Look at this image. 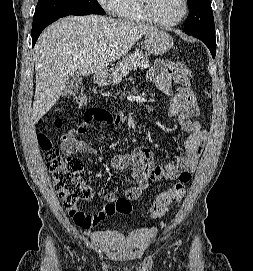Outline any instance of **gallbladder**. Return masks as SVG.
Here are the masks:
<instances>
[{"label":"gallbladder","instance_id":"gallbladder-1","mask_svg":"<svg viewBox=\"0 0 253 271\" xmlns=\"http://www.w3.org/2000/svg\"><path fill=\"white\" fill-rule=\"evenodd\" d=\"M81 85L82 77L78 73H75L68 79L67 83L65 84V87L62 91V96L64 98H69L76 95L79 92Z\"/></svg>","mask_w":253,"mask_h":271}]
</instances>
